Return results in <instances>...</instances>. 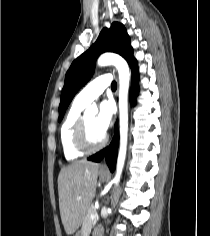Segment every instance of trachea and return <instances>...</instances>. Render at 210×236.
<instances>
[{"label":"trachea","mask_w":210,"mask_h":236,"mask_svg":"<svg viewBox=\"0 0 210 236\" xmlns=\"http://www.w3.org/2000/svg\"><path fill=\"white\" fill-rule=\"evenodd\" d=\"M111 88H112V90H116V88H117V84H116L115 81L112 82V84H111Z\"/></svg>","instance_id":"obj_1"}]
</instances>
